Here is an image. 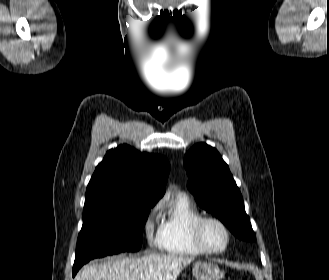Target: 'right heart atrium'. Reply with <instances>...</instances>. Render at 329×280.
I'll return each instance as SVG.
<instances>
[{
    "instance_id": "right-heart-atrium-1",
    "label": "right heart atrium",
    "mask_w": 329,
    "mask_h": 280,
    "mask_svg": "<svg viewBox=\"0 0 329 280\" xmlns=\"http://www.w3.org/2000/svg\"><path fill=\"white\" fill-rule=\"evenodd\" d=\"M162 208V201L154 203L148 210L143 221V232L149 245H159L162 225L158 223V215Z\"/></svg>"
}]
</instances>
